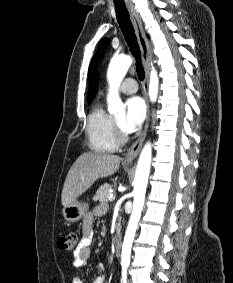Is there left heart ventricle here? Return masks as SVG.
<instances>
[{
    "mask_svg": "<svg viewBox=\"0 0 233 283\" xmlns=\"http://www.w3.org/2000/svg\"><path fill=\"white\" fill-rule=\"evenodd\" d=\"M116 120L123 127L124 116H118Z\"/></svg>",
    "mask_w": 233,
    "mask_h": 283,
    "instance_id": "b2bd125f",
    "label": "left heart ventricle"
}]
</instances>
